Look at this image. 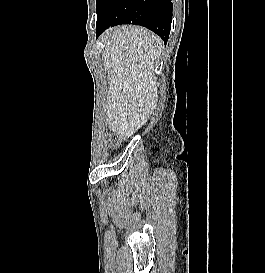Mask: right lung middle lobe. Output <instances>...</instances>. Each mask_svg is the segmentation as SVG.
Wrapping results in <instances>:
<instances>
[{"label":"right lung middle lobe","instance_id":"1","mask_svg":"<svg viewBox=\"0 0 265 273\" xmlns=\"http://www.w3.org/2000/svg\"><path fill=\"white\" fill-rule=\"evenodd\" d=\"M112 2L113 0H96V10H97L96 26H98L102 22Z\"/></svg>","mask_w":265,"mask_h":273}]
</instances>
